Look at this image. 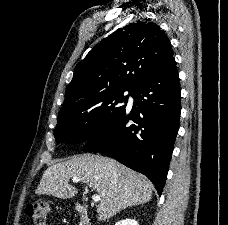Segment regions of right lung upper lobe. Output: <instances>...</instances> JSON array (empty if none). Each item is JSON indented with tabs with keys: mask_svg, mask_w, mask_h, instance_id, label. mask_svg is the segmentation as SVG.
<instances>
[{
	"mask_svg": "<svg viewBox=\"0 0 228 225\" xmlns=\"http://www.w3.org/2000/svg\"><path fill=\"white\" fill-rule=\"evenodd\" d=\"M172 57L170 41L156 23H130L76 65L63 105L110 87L134 89Z\"/></svg>",
	"mask_w": 228,
	"mask_h": 225,
	"instance_id": "obj_1",
	"label": "right lung upper lobe"
}]
</instances>
